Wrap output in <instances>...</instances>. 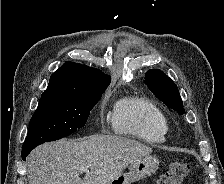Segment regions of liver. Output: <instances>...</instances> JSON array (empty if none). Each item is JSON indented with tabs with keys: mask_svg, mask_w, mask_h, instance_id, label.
<instances>
[{
	"mask_svg": "<svg viewBox=\"0 0 224 184\" xmlns=\"http://www.w3.org/2000/svg\"><path fill=\"white\" fill-rule=\"evenodd\" d=\"M152 151L135 140L114 135L61 139L29 154L27 178L29 184H107ZM82 167L88 168L83 179L79 177Z\"/></svg>",
	"mask_w": 224,
	"mask_h": 184,
	"instance_id": "obj_1",
	"label": "liver"
}]
</instances>
